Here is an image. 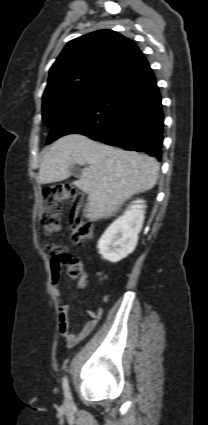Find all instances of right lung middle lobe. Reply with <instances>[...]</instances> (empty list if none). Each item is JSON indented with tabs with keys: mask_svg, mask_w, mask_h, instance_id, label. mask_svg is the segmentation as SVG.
I'll list each match as a JSON object with an SVG mask.
<instances>
[{
	"mask_svg": "<svg viewBox=\"0 0 208 425\" xmlns=\"http://www.w3.org/2000/svg\"><path fill=\"white\" fill-rule=\"evenodd\" d=\"M104 92L105 89H85L43 102L42 119L47 126H53L59 118L93 104Z\"/></svg>",
	"mask_w": 208,
	"mask_h": 425,
	"instance_id": "obj_1",
	"label": "right lung middle lobe"
}]
</instances>
